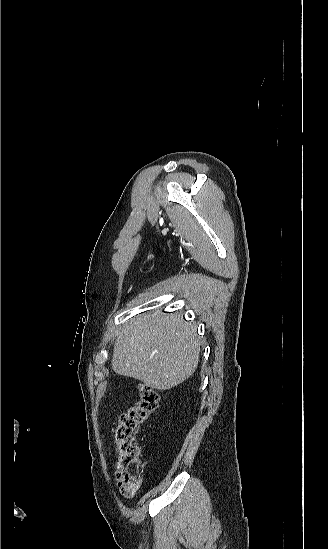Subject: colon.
<instances>
[{
  "label": "colon",
  "instance_id": "5ec220e1",
  "mask_svg": "<svg viewBox=\"0 0 328 549\" xmlns=\"http://www.w3.org/2000/svg\"><path fill=\"white\" fill-rule=\"evenodd\" d=\"M140 400L124 412L114 429L117 448V482L123 496L131 498L140 486L139 447L136 434L159 404L158 392L147 385L139 386Z\"/></svg>",
  "mask_w": 328,
  "mask_h": 549
}]
</instances>
